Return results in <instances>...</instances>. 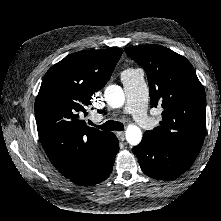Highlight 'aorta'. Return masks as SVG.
<instances>
[{
    "label": "aorta",
    "instance_id": "1",
    "mask_svg": "<svg viewBox=\"0 0 221 221\" xmlns=\"http://www.w3.org/2000/svg\"><path fill=\"white\" fill-rule=\"evenodd\" d=\"M106 103L112 108H121L125 102V94L122 88L118 85H109L104 92ZM127 142L132 145H138L142 140L141 129L134 125L129 124L125 131Z\"/></svg>",
    "mask_w": 221,
    "mask_h": 221
}]
</instances>
